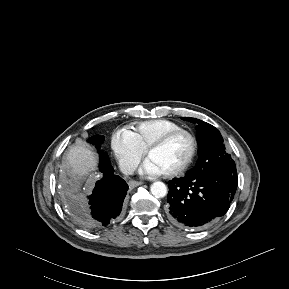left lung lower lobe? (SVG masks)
I'll list each match as a JSON object with an SVG mask.
<instances>
[{
	"instance_id": "0a47b994",
	"label": "left lung lower lobe",
	"mask_w": 289,
	"mask_h": 289,
	"mask_svg": "<svg viewBox=\"0 0 289 289\" xmlns=\"http://www.w3.org/2000/svg\"><path fill=\"white\" fill-rule=\"evenodd\" d=\"M238 177L226 166L187 172L168 182L167 217L181 228L202 229L222 217L235 195Z\"/></svg>"
}]
</instances>
